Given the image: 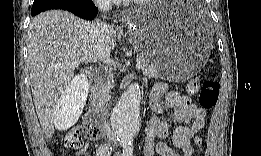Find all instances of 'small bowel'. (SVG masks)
<instances>
[{
	"label": "small bowel",
	"instance_id": "small-bowel-1",
	"mask_svg": "<svg viewBox=\"0 0 261 156\" xmlns=\"http://www.w3.org/2000/svg\"><path fill=\"white\" fill-rule=\"evenodd\" d=\"M165 96L164 107L171 109L168 119L159 116L164 107L159 103V98ZM150 106L155 113L148 123L142 154L145 156H191L193 147L191 140L194 135L205 126L206 112L197 106L192 100L176 91H169L165 83H157L153 86L150 96ZM171 125L174 128L170 130ZM171 140L173 147L167 143ZM89 143L76 152L78 156H87Z\"/></svg>",
	"mask_w": 261,
	"mask_h": 156
}]
</instances>
